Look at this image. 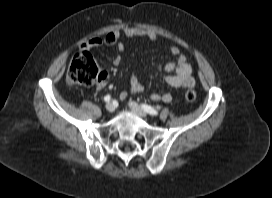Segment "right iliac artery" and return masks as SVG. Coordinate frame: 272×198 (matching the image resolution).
<instances>
[{
	"label": "right iliac artery",
	"instance_id": "1",
	"mask_svg": "<svg viewBox=\"0 0 272 198\" xmlns=\"http://www.w3.org/2000/svg\"><path fill=\"white\" fill-rule=\"evenodd\" d=\"M111 100V96L110 95H106L105 97H104V101L105 102H109Z\"/></svg>",
	"mask_w": 272,
	"mask_h": 198
}]
</instances>
